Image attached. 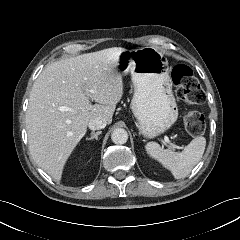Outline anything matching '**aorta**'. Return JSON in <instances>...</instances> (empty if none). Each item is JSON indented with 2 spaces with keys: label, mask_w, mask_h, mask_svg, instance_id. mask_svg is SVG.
Wrapping results in <instances>:
<instances>
[{
  "label": "aorta",
  "mask_w": 240,
  "mask_h": 240,
  "mask_svg": "<svg viewBox=\"0 0 240 240\" xmlns=\"http://www.w3.org/2000/svg\"><path fill=\"white\" fill-rule=\"evenodd\" d=\"M112 142L118 145L125 144L128 140V133L123 128H116L111 134Z\"/></svg>",
  "instance_id": "1"
}]
</instances>
